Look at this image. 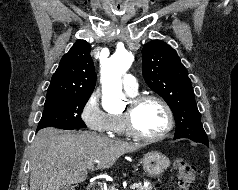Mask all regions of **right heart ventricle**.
Wrapping results in <instances>:
<instances>
[{
	"mask_svg": "<svg viewBox=\"0 0 238 190\" xmlns=\"http://www.w3.org/2000/svg\"><path fill=\"white\" fill-rule=\"evenodd\" d=\"M111 125H112L111 131L114 132L115 134L124 135L127 133L121 115H111Z\"/></svg>",
	"mask_w": 238,
	"mask_h": 190,
	"instance_id": "1",
	"label": "right heart ventricle"
}]
</instances>
